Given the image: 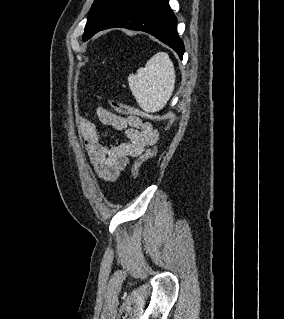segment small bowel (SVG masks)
<instances>
[{
  "label": "small bowel",
  "instance_id": "c3829d8e",
  "mask_svg": "<svg viewBox=\"0 0 284 319\" xmlns=\"http://www.w3.org/2000/svg\"><path fill=\"white\" fill-rule=\"evenodd\" d=\"M96 115L102 124L123 131L127 137L124 143L106 145L93 122L85 117L76 120L78 133L96 176L102 181L114 182L127 168L130 158L141 156L157 142L158 131L142 118L123 117L102 107L96 108Z\"/></svg>",
  "mask_w": 284,
  "mask_h": 319
}]
</instances>
